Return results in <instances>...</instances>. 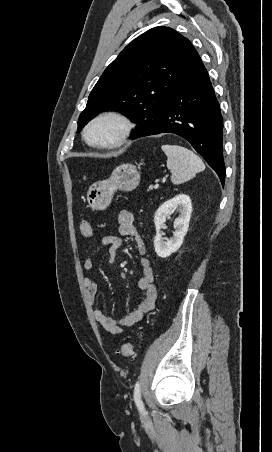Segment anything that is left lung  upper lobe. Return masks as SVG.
<instances>
[{
	"label": "left lung upper lobe",
	"instance_id": "1",
	"mask_svg": "<svg viewBox=\"0 0 272 452\" xmlns=\"http://www.w3.org/2000/svg\"><path fill=\"white\" fill-rule=\"evenodd\" d=\"M197 51L169 27H155L128 44L105 69L78 119L81 131L95 115L123 111L137 129L155 124Z\"/></svg>",
	"mask_w": 272,
	"mask_h": 452
}]
</instances>
